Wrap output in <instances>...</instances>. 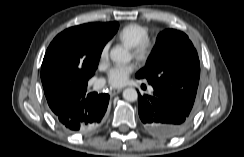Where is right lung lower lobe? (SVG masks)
<instances>
[{
  "instance_id": "right-lung-lower-lobe-1",
  "label": "right lung lower lobe",
  "mask_w": 244,
  "mask_h": 157,
  "mask_svg": "<svg viewBox=\"0 0 244 157\" xmlns=\"http://www.w3.org/2000/svg\"><path fill=\"white\" fill-rule=\"evenodd\" d=\"M86 91L87 87L79 90L66 89L54 95H46L56 120L69 131L87 133L104 121L109 95L86 94Z\"/></svg>"
}]
</instances>
